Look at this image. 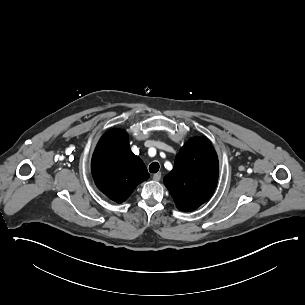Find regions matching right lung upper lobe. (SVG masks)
Segmentation results:
<instances>
[{"label":"right lung upper lobe","instance_id":"1","mask_svg":"<svg viewBox=\"0 0 305 305\" xmlns=\"http://www.w3.org/2000/svg\"><path fill=\"white\" fill-rule=\"evenodd\" d=\"M96 186L111 200L122 203L149 178L143 161L129 147L123 130L108 131L98 142L91 162Z\"/></svg>","mask_w":305,"mask_h":305}]
</instances>
